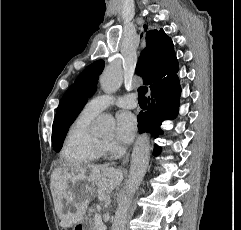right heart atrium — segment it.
I'll return each mask as SVG.
<instances>
[{
  "instance_id": "d8ad5b80",
  "label": "right heart atrium",
  "mask_w": 241,
  "mask_h": 230,
  "mask_svg": "<svg viewBox=\"0 0 241 230\" xmlns=\"http://www.w3.org/2000/svg\"><path fill=\"white\" fill-rule=\"evenodd\" d=\"M101 146H102V151L110 154L117 153L121 150V147L116 142H113V141L103 142Z\"/></svg>"
}]
</instances>
